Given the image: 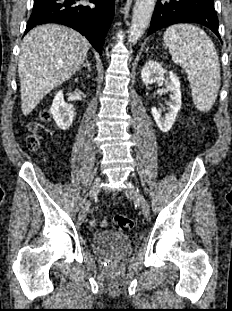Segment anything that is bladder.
Returning a JSON list of instances; mask_svg holds the SVG:
<instances>
[{
  "label": "bladder",
  "mask_w": 232,
  "mask_h": 311,
  "mask_svg": "<svg viewBox=\"0 0 232 311\" xmlns=\"http://www.w3.org/2000/svg\"><path fill=\"white\" fill-rule=\"evenodd\" d=\"M93 250L97 253L121 256L132 249L131 239L123 233L105 230L91 238Z\"/></svg>",
  "instance_id": "1"
}]
</instances>
